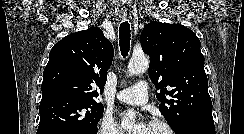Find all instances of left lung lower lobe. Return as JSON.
Masks as SVG:
<instances>
[{
	"mask_svg": "<svg viewBox=\"0 0 244 134\" xmlns=\"http://www.w3.org/2000/svg\"><path fill=\"white\" fill-rule=\"evenodd\" d=\"M177 134H216L214 123L193 121L185 125Z\"/></svg>",
	"mask_w": 244,
	"mask_h": 134,
	"instance_id": "left-lung-lower-lobe-1",
	"label": "left lung lower lobe"
}]
</instances>
